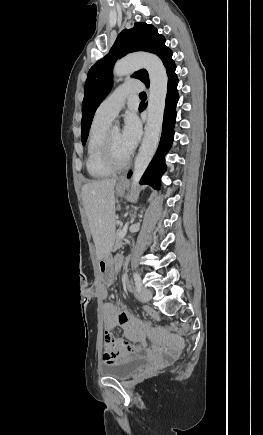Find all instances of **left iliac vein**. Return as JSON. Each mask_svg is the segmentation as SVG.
Listing matches in <instances>:
<instances>
[{
	"mask_svg": "<svg viewBox=\"0 0 263 435\" xmlns=\"http://www.w3.org/2000/svg\"><path fill=\"white\" fill-rule=\"evenodd\" d=\"M152 298V292L147 288H141L140 290V299L143 302H148Z\"/></svg>",
	"mask_w": 263,
	"mask_h": 435,
	"instance_id": "obj_1",
	"label": "left iliac vein"
}]
</instances>
